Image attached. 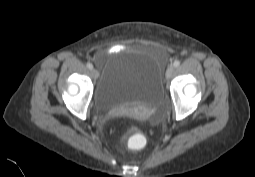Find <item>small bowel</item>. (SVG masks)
<instances>
[{"instance_id": "small-bowel-1", "label": "small bowel", "mask_w": 255, "mask_h": 177, "mask_svg": "<svg viewBox=\"0 0 255 177\" xmlns=\"http://www.w3.org/2000/svg\"><path fill=\"white\" fill-rule=\"evenodd\" d=\"M120 47L117 45V46H114L112 47L110 50H109V53L111 54H115L117 53V50L119 49Z\"/></svg>"}]
</instances>
